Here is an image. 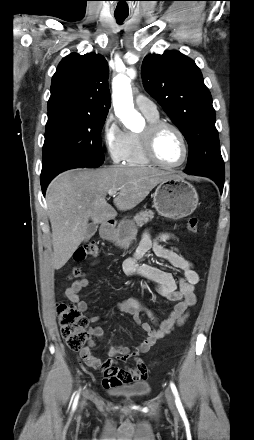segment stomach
Wrapping results in <instances>:
<instances>
[{
  "label": "stomach",
  "mask_w": 254,
  "mask_h": 440,
  "mask_svg": "<svg viewBox=\"0 0 254 440\" xmlns=\"http://www.w3.org/2000/svg\"><path fill=\"white\" fill-rule=\"evenodd\" d=\"M198 201V194L193 185L175 175L160 182L153 197L156 211L161 216L173 220L191 215L197 208ZM136 233V227L131 221L122 220L116 229L105 233L104 238L121 248H126Z\"/></svg>",
  "instance_id": "stomach-1"
}]
</instances>
